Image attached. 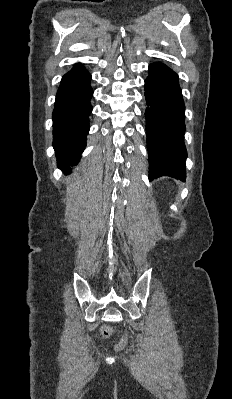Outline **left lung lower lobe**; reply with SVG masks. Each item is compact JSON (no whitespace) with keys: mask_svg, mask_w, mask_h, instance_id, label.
Returning <instances> with one entry per match:
<instances>
[{"mask_svg":"<svg viewBox=\"0 0 232 399\" xmlns=\"http://www.w3.org/2000/svg\"><path fill=\"white\" fill-rule=\"evenodd\" d=\"M145 96L150 105L145 112L149 179L170 176L185 181V106L178 75L162 63L150 64Z\"/></svg>","mask_w":232,"mask_h":399,"instance_id":"left-lung-lower-lobe-1","label":"left lung lower lobe"}]
</instances>
